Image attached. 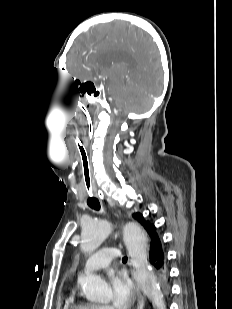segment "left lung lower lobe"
I'll return each instance as SVG.
<instances>
[{
	"instance_id": "1",
	"label": "left lung lower lobe",
	"mask_w": 232,
	"mask_h": 309,
	"mask_svg": "<svg viewBox=\"0 0 232 309\" xmlns=\"http://www.w3.org/2000/svg\"><path fill=\"white\" fill-rule=\"evenodd\" d=\"M149 241V261L161 281L165 282L168 277L167 255L162 240L156 227L151 226L147 232Z\"/></svg>"
}]
</instances>
